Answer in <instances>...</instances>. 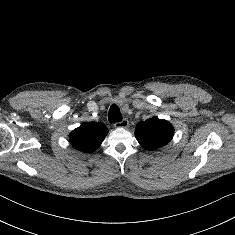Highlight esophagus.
<instances>
[{"label": "esophagus", "mask_w": 235, "mask_h": 235, "mask_svg": "<svg viewBox=\"0 0 235 235\" xmlns=\"http://www.w3.org/2000/svg\"><path fill=\"white\" fill-rule=\"evenodd\" d=\"M128 125H129V121L126 118H124L122 121L116 122L114 124V127L115 128H126V127H128Z\"/></svg>", "instance_id": "1"}]
</instances>
